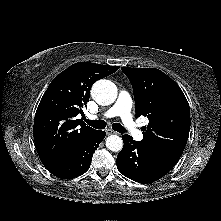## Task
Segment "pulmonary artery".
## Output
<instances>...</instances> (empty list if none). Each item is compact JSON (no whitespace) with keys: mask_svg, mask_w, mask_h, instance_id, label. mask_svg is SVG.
<instances>
[{"mask_svg":"<svg viewBox=\"0 0 221 221\" xmlns=\"http://www.w3.org/2000/svg\"><path fill=\"white\" fill-rule=\"evenodd\" d=\"M132 99L130 95L122 90L119 93L118 99L116 103L108 109L102 117L104 118H112L115 116H119L124 127L129 131L131 136L136 139H142V131L138 128L136 122L133 119L132 113ZM90 119H98V116H90Z\"/></svg>","mask_w":221,"mask_h":221,"instance_id":"pulmonary-artery-1","label":"pulmonary artery"}]
</instances>
